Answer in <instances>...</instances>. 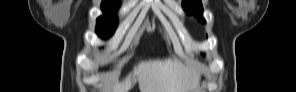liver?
I'll return each instance as SVG.
<instances>
[{
	"label": "liver",
	"instance_id": "obj_1",
	"mask_svg": "<svg viewBox=\"0 0 296 92\" xmlns=\"http://www.w3.org/2000/svg\"><path fill=\"white\" fill-rule=\"evenodd\" d=\"M202 68L198 62L184 65L176 59L142 61L122 82L118 81V71H114L105 90L129 92L137 79L140 92H190L199 82Z\"/></svg>",
	"mask_w": 296,
	"mask_h": 92
}]
</instances>
